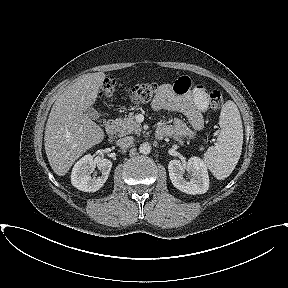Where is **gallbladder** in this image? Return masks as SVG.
Masks as SVG:
<instances>
[{"label": "gallbladder", "instance_id": "bac80fb5", "mask_svg": "<svg viewBox=\"0 0 288 288\" xmlns=\"http://www.w3.org/2000/svg\"><path fill=\"white\" fill-rule=\"evenodd\" d=\"M85 113L93 120H97L99 118V113L93 107H89L87 110H85Z\"/></svg>", "mask_w": 288, "mask_h": 288}]
</instances>
